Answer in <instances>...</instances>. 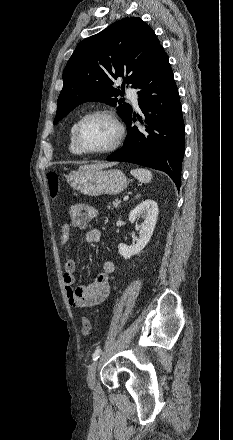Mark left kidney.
<instances>
[{
	"label": "left kidney",
	"mask_w": 233,
	"mask_h": 440,
	"mask_svg": "<svg viewBox=\"0 0 233 440\" xmlns=\"http://www.w3.org/2000/svg\"><path fill=\"white\" fill-rule=\"evenodd\" d=\"M158 217V205L154 200L147 199L137 205L129 214V221L134 223L139 218L143 219L141 225H139V238L136 244L127 246L124 243H120L118 250L120 255L124 259H130V257L137 255L151 239Z\"/></svg>",
	"instance_id": "5707ae66"
}]
</instances>
